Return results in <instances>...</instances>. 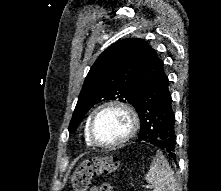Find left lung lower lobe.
<instances>
[{
	"mask_svg": "<svg viewBox=\"0 0 221 191\" xmlns=\"http://www.w3.org/2000/svg\"><path fill=\"white\" fill-rule=\"evenodd\" d=\"M134 107L141 122L136 141L151 143L175 160V114L169 80L164 73V63L149 45L136 79Z\"/></svg>",
	"mask_w": 221,
	"mask_h": 191,
	"instance_id": "obj_1",
	"label": "left lung lower lobe"
}]
</instances>
